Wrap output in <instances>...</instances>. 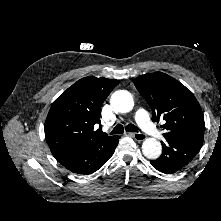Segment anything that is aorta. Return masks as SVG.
<instances>
[{"instance_id": "1", "label": "aorta", "mask_w": 221, "mask_h": 221, "mask_svg": "<svg viewBox=\"0 0 221 221\" xmlns=\"http://www.w3.org/2000/svg\"><path fill=\"white\" fill-rule=\"evenodd\" d=\"M111 106L120 113H127L134 107V100L132 95L126 90H118L114 92L110 99ZM143 155L155 160L162 153V146L155 138H147L142 144Z\"/></svg>"}]
</instances>
